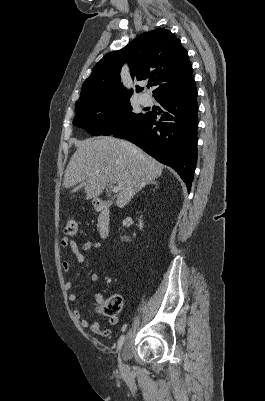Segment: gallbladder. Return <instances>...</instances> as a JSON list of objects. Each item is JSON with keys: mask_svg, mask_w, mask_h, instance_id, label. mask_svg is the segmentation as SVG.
<instances>
[{"mask_svg": "<svg viewBox=\"0 0 265 401\" xmlns=\"http://www.w3.org/2000/svg\"><path fill=\"white\" fill-rule=\"evenodd\" d=\"M107 205H112V201H106Z\"/></svg>", "mask_w": 265, "mask_h": 401, "instance_id": "1", "label": "gallbladder"}]
</instances>
